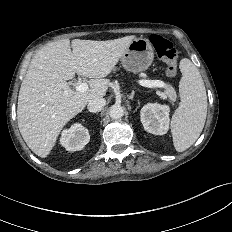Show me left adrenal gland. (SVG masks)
<instances>
[{
  "label": "left adrenal gland",
  "instance_id": "left-adrenal-gland-1",
  "mask_svg": "<svg viewBox=\"0 0 232 232\" xmlns=\"http://www.w3.org/2000/svg\"><path fill=\"white\" fill-rule=\"evenodd\" d=\"M134 98V92H132V94L129 96V99L133 100Z\"/></svg>",
  "mask_w": 232,
  "mask_h": 232
}]
</instances>
